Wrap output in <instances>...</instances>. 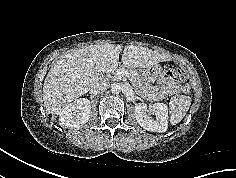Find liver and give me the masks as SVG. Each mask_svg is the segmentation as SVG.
<instances>
[{
    "label": "liver",
    "mask_w": 236,
    "mask_h": 178,
    "mask_svg": "<svg viewBox=\"0 0 236 178\" xmlns=\"http://www.w3.org/2000/svg\"><path fill=\"white\" fill-rule=\"evenodd\" d=\"M121 45L97 44L70 51L56 60L43 85V101L53 115L80 96L90 91L100 81L99 73L115 70L119 62ZM166 54L146 47L127 45L124 47L121 62L127 69L147 68L159 62L169 61Z\"/></svg>",
    "instance_id": "1"
}]
</instances>
